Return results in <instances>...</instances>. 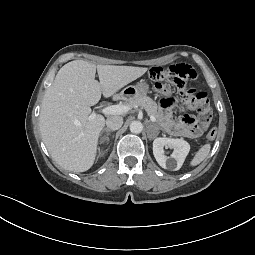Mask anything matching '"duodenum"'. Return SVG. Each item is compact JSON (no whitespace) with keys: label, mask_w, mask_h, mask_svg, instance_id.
I'll return each mask as SVG.
<instances>
[{"label":"duodenum","mask_w":255,"mask_h":255,"mask_svg":"<svg viewBox=\"0 0 255 255\" xmlns=\"http://www.w3.org/2000/svg\"><path fill=\"white\" fill-rule=\"evenodd\" d=\"M117 97H118V98H120V97H121V95H118Z\"/></svg>","instance_id":"1"}]
</instances>
